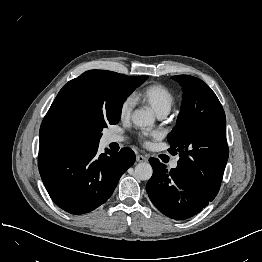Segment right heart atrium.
<instances>
[{
    "label": "right heart atrium",
    "instance_id": "obj_1",
    "mask_svg": "<svg viewBox=\"0 0 262 262\" xmlns=\"http://www.w3.org/2000/svg\"><path fill=\"white\" fill-rule=\"evenodd\" d=\"M135 100L132 96H127L121 103L119 108V115L121 119H128L132 113Z\"/></svg>",
    "mask_w": 262,
    "mask_h": 262
}]
</instances>
